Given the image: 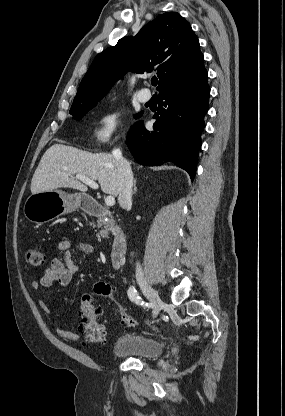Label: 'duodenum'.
Listing matches in <instances>:
<instances>
[{"mask_svg":"<svg viewBox=\"0 0 285 416\" xmlns=\"http://www.w3.org/2000/svg\"><path fill=\"white\" fill-rule=\"evenodd\" d=\"M77 201L79 202L80 206H84L85 210L93 216H109L107 210L100 203H98V198L90 197L89 193H78ZM127 247L128 240L126 234L120 230L116 231L113 235L110 250L111 267L113 269H120L122 267L124 258L126 256Z\"/></svg>","mask_w":285,"mask_h":416,"instance_id":"duodenum-1","label":"duodenum"}]
</instances>
